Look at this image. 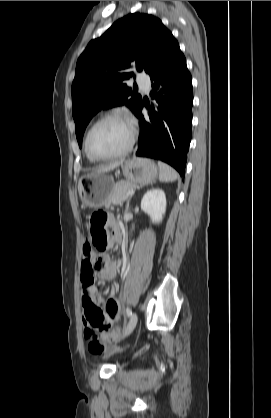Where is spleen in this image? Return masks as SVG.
I'll return each mask as SVG.
<instances>
[{"label":"spleen","instance_id":"spleen-1","mask_svg":"<svg viewBox=\"0 0 271 418\" xmlns=\"http://www.w3.org/2000/svg\"><path fill=\"white\" fill-rule=\"evenodd\" d=\"M159 180L161 182H172L178 178L177 172L168 164L158 161Z\"/></svg>","mask_w":271,"mask_h":418}]
</instances>
